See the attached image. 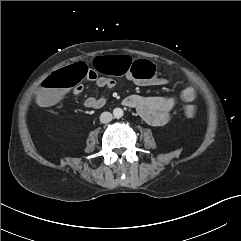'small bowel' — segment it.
Segmentation results:
<instances>
[{
  "label": "small bowel",
  "mask_w": 241,
  "mask_h": 241,
  "mask_svg": "<svg viewBox=\"0 0 241 241\" xmlns=\"http://www.w3.org/2000/svg\"><path fill=\"white\" fill-rule=\"evenodd\" d=\"M85 79L94 81L99 88L113 89L116 86L115 79L99 75L94 68H89V75ZM166 82L164 78L153 77L141 82V85L157 86L164 85ZM72 92L74 95H80L83 92V86L78 83ZM196 95L195 87L189 86L181 91L180 98L184 102H191L196 98ZM106 102L107 98L105 96H90L84 100L83 104L87 109H100ZM123 104L135 109L138 115L148 124L152 126H164L170 120V113L176 105V98L132 94L123 100Z\"/></svg>",
  "instance_id": "1"
}]
</instances>
